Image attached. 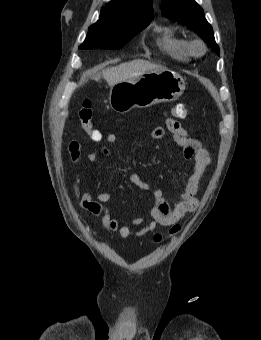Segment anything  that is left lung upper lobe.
Here are the masks:
<instances>
[{
	"instance_id": "left-lung-upper-lobe-1",
	"label": "left lung upper lobe",
	"mask_w": 261,
	"mask_h": 340,
	"mask_svg": "<svg viewBox=\"0 0 261 340\" xmlns=\"http://www.w3.org/2000/svg\"><path fill=\"white\" fill-rule=\"evenodd\" d=\"M162 15L196 32L217 55L220 54L213 29L205 19L203 9L194 0H163Z\"/></svg>"
}]
</instances>
